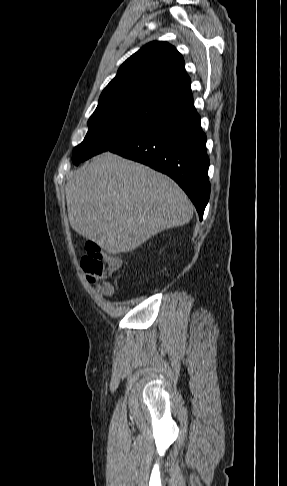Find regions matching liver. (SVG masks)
Here are the masks:
<instances>
[{
	"mask_svg": "<svg viewBox=\"0 0 287 486\" xmlns=\"http://www.w3.org/2000/svg\"><path fill=\"white\" fill-rule=\"evenodd\" d=\"M65 192L72 228L113 255L193 216L192 203L172 179L110 152L72 172Z\"/></svg>",
	"mask_w": 287,
	"mask_h": 486,
	"instance_id": "obj_1",
	"label": "liver"
}]
</instances>
